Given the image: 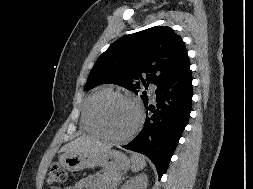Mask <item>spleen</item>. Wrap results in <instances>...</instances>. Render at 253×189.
Here are the masks:
<instances>
[{"label":"spleen","instance_id":"1","mask_svg":"<svg viewBox=\"0 0 253 189\" xmlns=\"http://www.w3.org/2000/svg\"><path fill=\"white\" fill-rule=\"evenodd\" d=\"M132 171L137 172L146 166L145 157L141 154L133 153L131 155Z\"/></svg>","mask_w":253,"mask_h":189}]
</instances>
